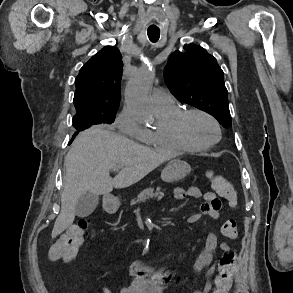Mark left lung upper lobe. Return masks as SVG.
<instances>
[{
    "instance_id": "5c2ea615",
    "label": "left lung upper lobe",
    "mask_w": 293,
    "mask_h": 293,
    "mask_svg": "<svg viewBox=\"0 0 293 293\" xmlns=\"http://www.w3.org/2000/svg\"><path fill=\"white\" fill-rule=\"evenodd\" d=\"M184 49V53H172L164 69L168 89L179 100L213 115L224 127L231 126L224 73L216 59L193 44Z\"/></svg>"
}]
</instances>
